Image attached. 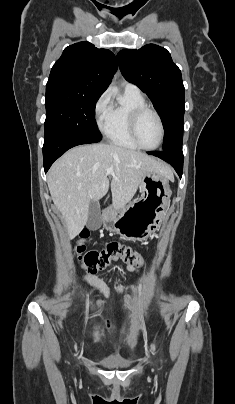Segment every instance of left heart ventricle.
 <instances>
[{
  "label": "left heart ventricle",
  "instance_id": "obj_1",
  "mask_svg": "<svg viewBox=\"0 0 235 404\" xmlns=\"http://www.w3.org/2000/svg\"><path fill=\"white\" fill-rule=\"evenodd\" d=\"M138 139L146 147L155 146L160 138V128L154 114L146 112L140 118L137 128Z\"/></svg>",
  "mask_w": 235,
  "mask_h": 404
}]
</instances>
